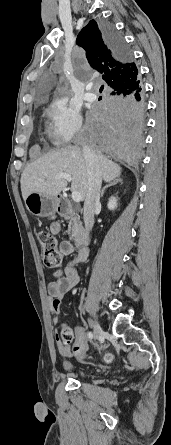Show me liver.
Segmentation results:
<instances>
[{"instance_id": "6515ba94", "label": "liver", "mask_w": 171, "mask_h": 445, "mask_svg": "<svg viewBox=\"0 0 171 445\" xmlns=\"http://www.w3.org/2000/svg\"><path fill=\"white\" fill-rule=\"evenodd\" d=\"M97 155L104 181L110 182L120 176L121 167L117 163ZM60 173L71 176L72 191H78L84 200L88 192L89 175L83 150L79 146H67L49 152L28 165L20 181L23 199L33 192L57 197L67 186V180L55 179V175Z\"/></svg>"}]
</instances>
